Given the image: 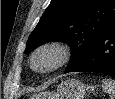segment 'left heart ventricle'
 <instances>
[{
	"label": "left heart ventricle",
	"instance_id": "obj_1",
	"mask_svg": "<svg viewBox=\"0 0 115 99\" xmlns=\"http://www.w3.org/2000/svg\"><path fill=\"white\" fill-rule=\"evenodd\" d=\"M56 61V56L52 52H43L35 59V66L39 69H46L52 66Z\"/></svg>",
	"mask_w": 115,
	"mask_h": 99
}]
</instances>
